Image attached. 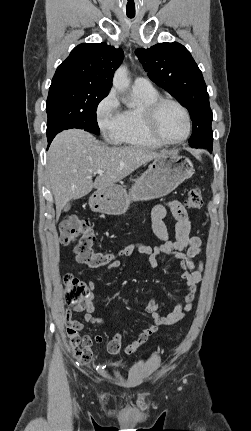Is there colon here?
Segmentation results:
<instances>
[{"mask_svg":"<svg viewBox=\"0 0 251 431\" xmlns=\"http://www.w3.org/2000/svg\"><path fill=\"white\" fill-rule=\"evenodd\" d=\"M185 204L189 209H200L203 197L198 187H192ZM95 234L90 222L77 216H69L60 224V243L74 244L75 258L79 263L92 268L107 266L112 262L110 253L99 252L94 248ZM65 300L69 305L81 307L88 294L87 286L71 274L64 277ZM99 359V356H96Z\"/></svg>","mask_w":251,"mask_h":431,"instance_id":"colon-1","label":"colon"}]
</instances>
